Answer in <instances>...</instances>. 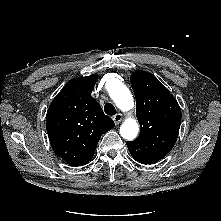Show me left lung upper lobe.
Instances as JSON below:
<instances>
[{
	"mask_svg": "<svg viewBox=\"0 0 221 221\" xmlns=\"http://www.w3.org/2000/svg\"><path fill=\"white\" fill-rule=\"evenodd\" d=\"M130 82L141 130L137 139L127 142V147L137 162L152 164L164 158L176 143L181 110L176 99L152 74L138 70L131 74Z\"/></svg>",
	"mask_w": 221,
	"mask_h": 221,
	"instance_id": "5c2ea615",
	"label": "left lung upper lobe"
}]
</instances>
